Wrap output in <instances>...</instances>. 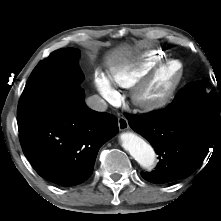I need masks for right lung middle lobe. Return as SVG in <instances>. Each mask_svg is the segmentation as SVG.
<instances>
[{"instance_id":"dd1d6c3e","label":"right lung middle lobe","mask_w":221,"mask_h":221,"mask_svg":"<svg viewBox=\"0 0 221 221\" xmlns=\"http://www.w3.org/2000/svg\"><path fill=\"white\" fill-rule=\"evenodd\" d=\"M79 56L78 49L62 48L39 62L20 97L17 112L19 130L48 116L80 89L85 77L77 63Z\"/></svg>"}]
</instances>
